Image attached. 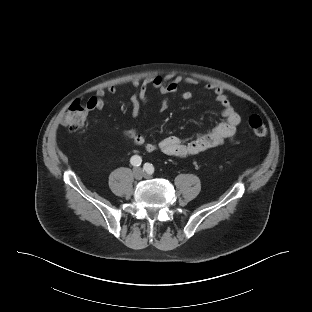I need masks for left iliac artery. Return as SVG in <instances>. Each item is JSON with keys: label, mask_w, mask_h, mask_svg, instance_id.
Segmentation results:
<instances>
[{"label": "left iliac artery", "mask_w": 312, "mask_h": 312, "mask_svg": "<svg viewBox=\"0 0 312 312\" xmlns=\"http://www.w3.org/2000/svg\"><path fill=\"white\" fill-rule=\"evenodd\" d=\"M143 168L148 174H152L154 172V167L150 163H145Z\"/></svg>", "instance_id": "left-iliac-artery-1"}]
</instances>
